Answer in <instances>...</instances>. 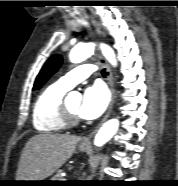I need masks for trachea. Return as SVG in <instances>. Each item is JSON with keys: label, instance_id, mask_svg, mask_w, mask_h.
I'll return each mask as SVG.
<instances>
[{"label": "trachea", "instance_id": "obj_1", "mask_svg": "<svg viewBox=\"0 0 178 186\" xmlns=\"http://www.w3.org/2000/svg\"><path fill=\"white\" fill-rule=\"evenodd\" d=\"M101 73H102V75H105V69H103V70L101 71Z\"/></svg>", "mask_w": 178, "mask_h": 186}]
</instances>
